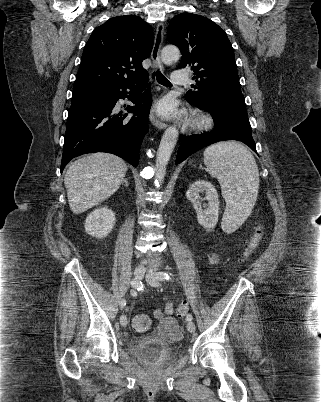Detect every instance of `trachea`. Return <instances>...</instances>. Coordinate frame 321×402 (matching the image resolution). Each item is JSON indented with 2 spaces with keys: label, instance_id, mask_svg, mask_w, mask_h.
I'll return each mask as SVG.
<instances>
[{
  "label": "trachea",
  "instance_id": "trachea-1",
  "mask_svg": "<svg viewBox=\"0 0 321 402\" xmlns=\"http://www.w3.org/2000/svg\"><path fill=\"white\" fill-rule=\"evenodd\" d=\"M152 76H153V78L156 77V80L161 85L168 86V87L172 86L170 81L159 71V69L156 72H154Z\"/></svg>",
  "mask_w": 321,
  "mask_h": 402
}]
</instances>
